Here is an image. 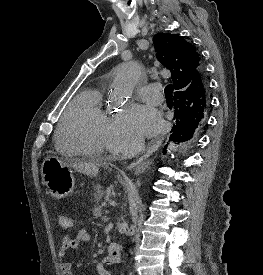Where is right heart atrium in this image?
Wrapping results in <instances>:
<instances>
[{"label":"right heart atrium","instance_id":"d8ad5b80","mask_svg":"<svg viewBox=\"0 0 263 275\" xmlns=\"http://www.w3.org/2000/svg\"><path fill=\"white\" fill-rule=\"evenodd\" d=\"M106 139L107 147L114 152L130 150L140 143V139L129 130L123 114L110 119Z\"/></svg>","mask_w":263,"mask_h":275}]
</instances>
